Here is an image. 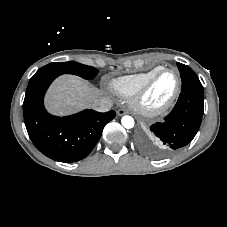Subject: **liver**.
Masks as SVG:
<instances>
[{"label": "liver", "instance_id": "obj_1", "mask_svg": "<svg viewBox=\"0 0 227 227\" xmlns=\"http://www.w3.org/2000/svg\"><path fill=\"white\" fill-rule=\"evenodd\" d=\"M101 97V91L73 75L59 77L46 95L48 111L56 115H68L85 107Z\"/></svg>", "mask_w": 227, "mask_h": 227}]
</instances>
